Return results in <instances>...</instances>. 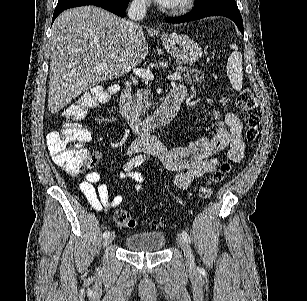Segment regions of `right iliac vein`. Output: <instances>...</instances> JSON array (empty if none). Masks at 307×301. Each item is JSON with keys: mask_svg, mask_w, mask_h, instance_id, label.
<instances>
[{"mask_svg": "<svg viewBox=\"0 0 307 301\" xmlns=\"http://www.w3.org/2000/svg\"><path fill=\"white\" fill-rule=\"evenodd\" d=\"M115 232H111L106 238H105V240H104V242H103V246L105 247V246H108L109 244H111L112 243V241L115 239Z\"/></svg>", "mask_w": 307, "mask_h": 301, "instance_id": "obj_1", "label": "right iliac vein"}]
</instances>
